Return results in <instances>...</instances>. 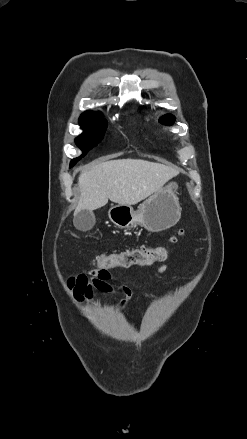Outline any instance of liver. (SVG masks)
Segmentation results:
<instances>
[{
    "label": "liver",
    "instance_id": "obj_1",
    "mask_svg": "<svg viewBox=\"0 0 247 439\" xmlns=\"http://www.w3.org/2000/svg\"><path fill=\"white\" fill-rule=\"evenodd\" d=\"M178 171L141 159L102 162L82 171L78 178L80 199L75 215L105 206L108 199L119 205H134L160 190Z\"/></svg>",
    "mask_w": 247,
    "mask_h": 439
}]
</instances>
